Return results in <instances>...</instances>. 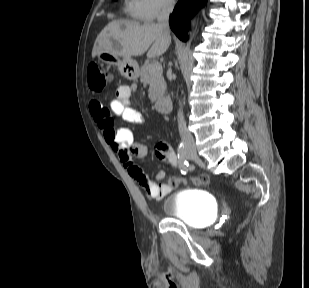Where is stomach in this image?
Here are the masks:
<instances>
[{
  "instance_id": "stomach-1",
  "label": "stomach",
  "mask_w": 309,
  "mask_h": 288,
  "mask_svg": "<svg viewBox=\"0 0 309 288\" xmlns=\"http://www.w3.org/2000/svg\"><path fill=\"white\" fill-rule=\"evenodd\" d=\"M99 61L106 63L109 66L118 67L122 75L129 80H137L139 76L138 63L132 58H120L110 52H100L97 55Z\"/></svg>"
}]
</instances>
